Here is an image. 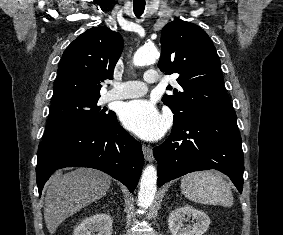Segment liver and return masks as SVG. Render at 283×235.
<instances>
[{"label":"liver","mask_w":283,"mask_h":235,"mask_svg":"<svg viewBox=\"0 0 283 235\" xmlns=\"http://www.w3.org/2000/svg\"><path fill=\"white\" fill-rule=\"evenodd\" d=\"M111 177L92 168H77L55 174L49 180L44 206V220L50 234L69 216L103 197Z\"/></svg>","instance_id":"1"}]
</instances>
